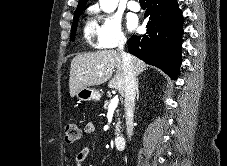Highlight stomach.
Segmentation results:
<instances>
[{
  "label": "stomach",
  "mask_w": 227,
  "mask_h": 166,
  "mask_svg": "<svg viewBox=\"0 0 227 166\" xmlns=\"http://www.w3.org/2000/svg\"><path fill=\"white\" fill-rule=\"evenodd\" d=\"M76 97L79 101H99L101 94L94 88L85 87L77 92Z\"/></svg>",
  "instance_id": "obj_1"
}]
</instances>
